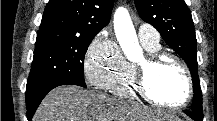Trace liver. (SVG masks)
Listing matches in <instances>:
<instances>
[{
    "label": "liver",
    "instance_id": "6515ba94",
    "mask_svg": "<svg viewBox=\"0 0 217 121\" xmlns=\"http://www.w3.org/2000/svg\"><path fill=\"white\" fill-rule=\"evenodd\" d=\"M162 117V118H161ZM166 114H148L135 104L65 85L53 89L38 107L33 121H164Z\"/></svg>",
    "mask_w": 217,
    "mask_h": 121
}]
</instances>
